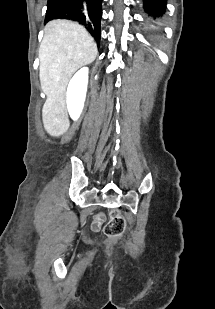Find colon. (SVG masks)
<instances>
[{"instance_id": "5ec220e1", "label": "colon", "mask_w": 215, "mask_h": 309, "mask_svg": "<svg viewBox=\"0 0 215 309\" xmlns=\"http://www.w3.org/2000/svg\"><path fill=\"white\" fill-rule=\"evenodd\" d=\"M126 227L125 220L120 215H113L104 226V233L107 236L116 237L123 233Z\"/></svg>"}]
</instances>
